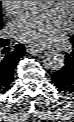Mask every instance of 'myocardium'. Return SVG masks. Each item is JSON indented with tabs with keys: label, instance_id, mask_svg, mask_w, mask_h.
Masks as SVG:
<instances>
[{
	"label": "myocardium",
	"instance_id": "1",
	"mask_svg": "<svg viewBox=\"0 0 74 122\" xmlns=\"http://www.w3.org/2000/svg\"><path fill=\"white\" fill-rule=\"evenodd\" d=\"M69 9H70V14H71V17L73 18L74 16V1H69Z\"/></svg>",
	"mask_w": 74,
	"mask_h": 122
}]
</instances>
